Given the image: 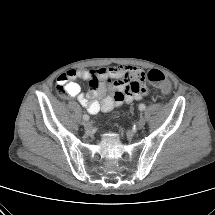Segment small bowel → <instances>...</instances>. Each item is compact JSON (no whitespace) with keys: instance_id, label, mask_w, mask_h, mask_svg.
Here are the masks:
<instances>
[{"instance_id":"c3829d8e","label":"small bowel","mask_w":215,"mask_h":215,"mask_svg":"<svg viewBox=\"0 0 215 215\" xmlns=\"http://www.w3.org/2000/svg\"><path fill=\"white\" fill-rule=\"evenodd\" d=\"M145 73L136 66L119 65L98 69H71L62 73L57 83L64 86L66 94L75 97L90 113L108 112L121 105L141 100L147 94ZM89 82L86 94L81 92L76 80ZM137 86L135 90L133 87Z\"/></svg>"}]
</instances>
